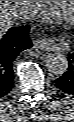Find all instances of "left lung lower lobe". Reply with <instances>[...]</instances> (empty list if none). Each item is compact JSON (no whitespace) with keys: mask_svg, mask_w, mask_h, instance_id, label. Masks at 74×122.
I'll return each instance as SVG.
<instances>
[{"mask_svg":"<svg viewBox=\"0 0 74 122\" xmlns=\"http://www.w3.org/2000/svg\"><path fill=\"white\" fill-rule=\"evenodd\" d=\"M68 61V71L56 80V87L63 94L74 96V53L68 55Z\"/></svg>","mask_w":74,"mask_h":122,"instance_id":"left-lung-lower-lobe-1","label":"left lung lower lobe"}]
</instances>
